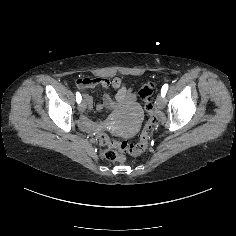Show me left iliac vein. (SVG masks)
<instances>
[{"label":"left iliac vein","instance_id":"left-iliac-vein-1","mask_svg":"<svg viewBox=\"0 0 236 236\" xmlns=\"http://www.w3.org/2000/svg\"><path fill=\"white\" fill-rule=\"evenodd\" d=\"M156 106L157 109H163L165 106V99L160 94L156 98Z\"/></svg>","mask_w":236,"mask_h":236}]
</instances>
